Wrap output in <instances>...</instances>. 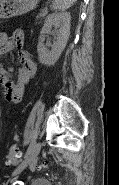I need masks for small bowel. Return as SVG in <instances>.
<instances>
[{
  "label": "small bowel",
  "instance_id": "obj_1",
  "mask_svg": "<svg viewBox=\"0 0 119 185\" xmlns=\"http://www.w3.org/2000/svg\"><path fill=\"white\" fill-rule=\"evenodd\" d=\"M23 44L24 32L22 30L17 29L10 34L2 33L0 35V53L6 54L16 48L21 63L16 82L11 80L10 69L4 66L0 68V84L3 89V97L12 104H17L22 100L26 85L35 75L37 69L30 53L23 49Z\"/></svg>",
  "mask_w": 119,
  "mask_h": 185
}]
</instances>
